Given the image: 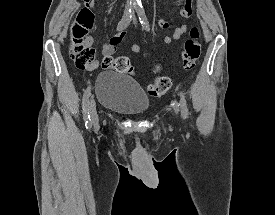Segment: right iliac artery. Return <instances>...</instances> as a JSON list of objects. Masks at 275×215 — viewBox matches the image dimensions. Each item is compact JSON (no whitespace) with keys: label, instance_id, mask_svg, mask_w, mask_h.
Instances as JSON below:
<instances>
[{"label":"right iliac artery","instance_id":"1","mask_svg":"<svg viewBox=\"0 0 275 215\" xmlns=\"http://www.w3.org/2000/svg\"><path fill=\"white\" fill-rule=\"evenodd\" d=\"M133 8H130L126 15L123 16L122 20L118 23L117 31L125 29L128 24L131 21V18L133 16ZM91 97V86L87 87L83 94L82 99V109H83V118L85 120V126L86 128H89L91 126L90 123V114H89V98Z\"/></svg>","mask_w":275,"mask_h":215}]
</instances>
